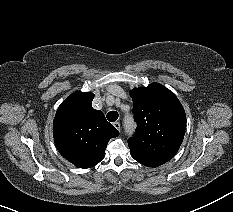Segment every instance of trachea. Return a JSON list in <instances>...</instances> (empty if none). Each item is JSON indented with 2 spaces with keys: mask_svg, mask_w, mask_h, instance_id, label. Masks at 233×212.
<instances>
[{
  "mask_svg": "<svg viewBox=\"0 0 233 212\" xmlns=\"http://www.w3.org/2000/svg\"><path fill=\"white\" fill-rule=\"evenodd\" d=\"M107 119L110 122H115L118 119V113L116 111L108 112Z\"/></svg>",
  "mask_w": 233,
  "mask_h": 212,
  "instance_id": "3493384b",
  "label": "trachea"
}]
</instances>
